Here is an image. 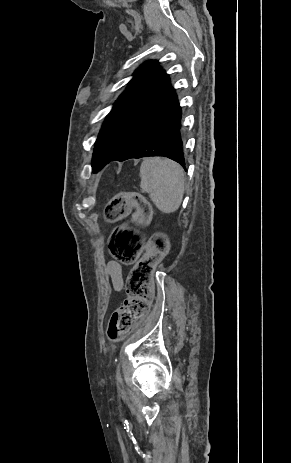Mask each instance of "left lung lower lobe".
Here are the masks:
<instances>
[{
    "label": "left lung lower lobe",
    "mask_w": 291,
    "mask_h": 463,
    "mask_svg": "<svg viewBox=\"0 0 291 463\" xmlns=\"http://www.w3.org/2000/svg\"><path fill=\"white\" fill-rule=\"evenodd\" d=\"M181 108L176 107L131 151L122 157H111L100 161L92 169L101 170L110 161H125L131 158L162 156L178 162L185 169L184 143L181 135Z\"/></svg>",
    "instance_id": "0a47b994"
}]
</instances>
